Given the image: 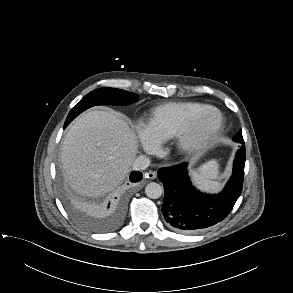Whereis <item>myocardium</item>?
Segmentation results:
<instances>
[{"instance_id": "myocardium-1", "label": "myocardium", "mask_w": 293, "mask_h": 293, "mask_svg": "<svg viewBox=\"0 0 293 293\" xmlns=\"http://www.w3.org/2000/svg\"><path fill=\"white\" fill-rule=\"evenodd\" d=\"M210 115H215L216 121L211 126H207L206 120ZM224 126L225 117L221 111L216 108L203 111L196 115L175 137L174 148L182 154L197 152L214 141Z\"/></svg>"}]
</instances>
